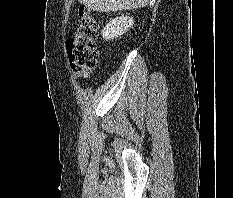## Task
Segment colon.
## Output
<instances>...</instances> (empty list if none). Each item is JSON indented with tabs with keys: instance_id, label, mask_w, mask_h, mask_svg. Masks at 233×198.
<instances>
[{
	"instance_id": "1",
	"label": "colon",
	"mask_w": 233,
	"mask_h": 198,
	"mask_svg": "<svg viewBox=\"0 0 233 198\" xmlns=\"http://www.w3.org/2000/svg\"><path fill=\"white\" fill-rule=\"evenodd\" d=\"M97 36L98 24L94 15L86 7H81L74 33L66 41L69 62L78 77L89 75L96 67Z\"/></svg>"
}]
</instances>
